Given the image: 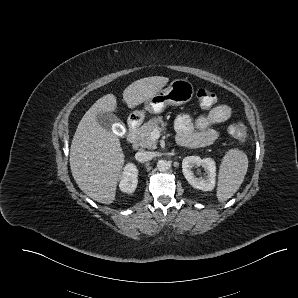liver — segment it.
<instances>
[{"instance_id": "6515ba94", "label": "liver", "mask_w": 298, "mask_h": 298, "mask_svg": "<svg viewBox=\"0 0 298 298\" xmlns=\"http://www.w3.org/2000/svg\"><path fill=\"white\" fill-rule=\"evenodd\" d=\"M164 76L142 78L123 93L129 107L148 100L168 83ZM115 98L108 94L97 100L80 120L71 142L69 161L74 180L90 198L108 204L114 199L124 156L117 136L101 127L96 114L114 109Z\"/></svg>"}]
</instances>
